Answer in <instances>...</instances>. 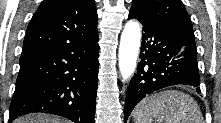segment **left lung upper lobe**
<instances>
[{"mask_svg":"<svg viewBox=\"0 0 221 123\" xmlns=\"http://www.w3.org/2000/svg\"><path fill=\"white\" fill-rule=\"evenodd\" d=\"M132 7L152 21L194 39L192 23L181 0H133Z\"/></svg>","mask_w":221,"mask_h":123,"instance_id":"obj_1","label":"left lung upper lobe"}]
</instances>
